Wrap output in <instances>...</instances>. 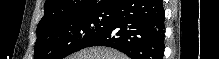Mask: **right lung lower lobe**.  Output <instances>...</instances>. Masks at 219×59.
Segmentation results:
<instances>
[{
	"label": "right lung lower lobe",
	"instance_id": "right-lung-lower-lobe-1",
	"mask_svg": "<svg viewBox=\"0 0 219 59\" xmlns=\"http://www.w3.org/2000/svg\"><path fill=\"white\" fill-rule=\"evenodd\" d=\"M106 30L84 48L107 46L131 59H162L164 18L162 0H117Z\"/></svg>",
	"mask_w": 219,
	"mask_h": 59
}]
</instances>
